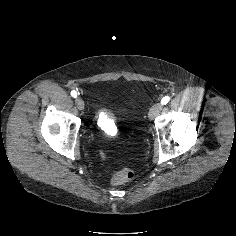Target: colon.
Listing matches in <instances>:
<instances>
[{
    "instance_id": "colon-1",
    "label": "colon",
    "mask_w": 236,
    "mask_h": 236,
    "mask_svg": "<svg viewBox=\"0 0 236 236\" xmlns=\"http://www.w3.org/2000/svg\"><path fill=\"white\" fill-rule=\"evenodd\" d=\"M100 156L103 160L106 159L105 154L103 151H100ZM134 177V173L130 168H124L120 172L116 173L112 179L111 183L113 185H121L123 183H126L130 181Z\"/></svg>"
}]
</instances>
